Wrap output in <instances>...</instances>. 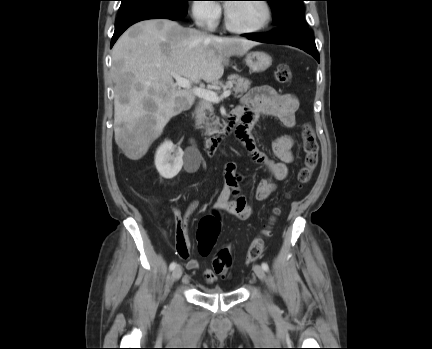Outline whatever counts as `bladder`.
I'll use <instances>...</instances> for the list:
<instances>
[{"label": "bladder", "instance_id": "1", "mask_svg": "<svg viewBox=\"0 0 432 349\" xmlns=\"http://www.w3.org/2000/svg\"><path fill=\"white\" fill-rule=\"evenodd\" d=\"M203 291L206 293H211V294H219V293L223 292V290L219 287H214V288H208L207 287V288H204Z\"/></svg>", "mask_w": 432, "mask_h": 349}]
</instances>
